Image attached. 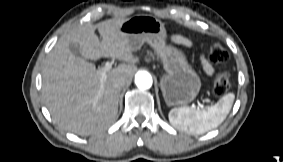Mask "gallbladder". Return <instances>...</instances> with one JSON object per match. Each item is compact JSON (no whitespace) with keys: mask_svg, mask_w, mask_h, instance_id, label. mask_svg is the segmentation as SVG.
I'll return each instance as SVG.
<instances>
[{"mask_svg":"<svg viewBox=\"0 0 283 162\" xmlns=\"http://www.w3.org/2000/svg\"><path fill=\"white\" fill-rule=\"evenodd\" d=\"M69 49L72 52V54L77 58H83L81 50L79 49L78 45L75 43H71L69 45Z\"/></svg>","mask_w":283,"mask_h":162,"instance_id":"bac80fb5","label":"gallbladder"}]
</instances>
